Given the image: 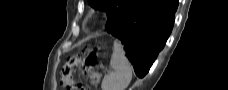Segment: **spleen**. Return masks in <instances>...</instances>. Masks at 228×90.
Listing matches in <instances>:
<instances>
[{
	"instance_id": "3e777b00",
	"label": "spleen",
	"mask_w": 228,
	"mask_h": 90,
	"mask_svg": "<svg viewBox=\"0 0 228 90\" xmlns=\"http://www.w3.org/2000/svg\"><path fill=\"white\" fill-rule=\"evenodd\" d=\"M110 66L113 70L104 76L102 90H125L132 79V67L122 45L117 41H114Z\"/></svg>"
}]
</instances>
